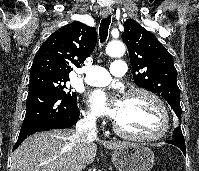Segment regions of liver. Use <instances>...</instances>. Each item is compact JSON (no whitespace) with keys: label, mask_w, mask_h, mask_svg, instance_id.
I'll return each mask as SVG.
<instances>
[{"label":"liver","mask_w":199,"mask_h":171,"mask_svg":"<svg viewBox=\"0 0 199 171\" xmlns=\"http://www.w3.org/2000/svg\"><path fill=\"white\" fill-rule=\"evenodd\" d=\"M73 130H51L28 137L12 156L11 171H76L91 164L99 142L108 149L125 144L121 141H83Z\"/></svg>","instance_id":"liver-1"}]
</instances>
